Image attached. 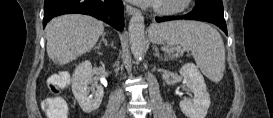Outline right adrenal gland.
<instances>
[{"label":"right adrenal gland","mask_w":273,"mask_h":118,"mask_svg":"<svg viewBox=\"0 0 273 118\" xmlns=\"http://www.w3.org/2000/svg\"><path fill=\"white\" fill-rule=\"evenodd\" d=\"M105 35H106V33L104 32L103 34H102V39H101V41L98 43V48H100V46H101V42H104V44L106 45V46H108V42H107V40L105 39Z\"/></svg>","instance_id":"1"}]
</instances>
